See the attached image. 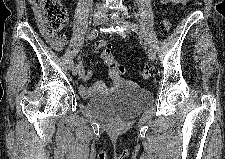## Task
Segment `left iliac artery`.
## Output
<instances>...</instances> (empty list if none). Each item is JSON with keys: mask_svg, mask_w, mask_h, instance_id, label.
<instances>
[{"mask_svg": "<svg viewBox=\"0 0 225 159\" xmlns=\"http://www.w3.org/2000/svg\"><path fill=\"white\" fill-rule=\"evenodd\" d=\"M131 27L133 28V30H136L139 32L141 36V41H143L144 44H147L149 47L151 46L150 44V39L148 38V34L145 28H142V26L138 23H131Z\"/></svg>", "mask_w": 225, "mask_h": 159, "instance_id": "44dca946", "label": "left iliac artery"}]
</instances>
